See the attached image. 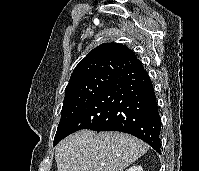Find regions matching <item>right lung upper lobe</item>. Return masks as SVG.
<instances>
[{"mask_svg":"<svg viewBox=\"0 0 199 171\" xmlns=\"http://www.w3.org/2000/svg\"><path fill=\"white\" fill-rule=\"evenodd\" d=\"M141 63L135 53L119 43H103L79 62L74 69L65 91L81 82L100 74L117 75L118 73Z\"/></svg>","mask_w":199,"mask_h":171,"instance_id":"obj_1","label":"right lung upper lobe"}]
</instances>
